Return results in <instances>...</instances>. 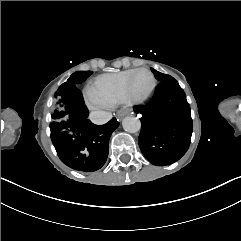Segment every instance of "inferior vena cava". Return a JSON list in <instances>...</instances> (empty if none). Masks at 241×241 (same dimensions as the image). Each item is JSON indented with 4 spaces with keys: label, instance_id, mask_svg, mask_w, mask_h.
<instances>
[{
    "label": "inferior vena cava",
    "instance_id": "inferior-vena-cava-1",
    "mask_svg": "<svg viewBox=\"0 0 241 241\" xmlns=\"http://www.w3.org/2000/svg\"><path fill=\"white\" fill-rule=\"evenodd\" d=\"M89 119L95 125H103L112 119V114L105 111H95L90 113Z\"/></svg>",
    "mask_w": 241,
    "mask_h": 241
}]
</instances>
